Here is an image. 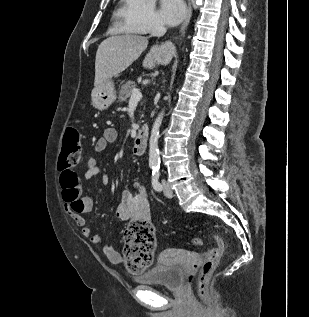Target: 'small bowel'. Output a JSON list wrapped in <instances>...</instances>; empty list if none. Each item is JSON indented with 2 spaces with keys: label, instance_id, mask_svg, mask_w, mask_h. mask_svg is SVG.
Instances as JSON below:
<instances>
[{
  "label": "small bowel",
  "instance_id": "1",
  "mask_svg": "<svg viewBox=\"0 0 309 317\" xmlns=\"http://www.w3.org/2000/svg\"><path fill=\"white\" fill-rule=\"evenodd\" d=\"M117 140V131L114 128H106L103 134L94 144L95 152H103L108 144ZM85 179L91 180L100 176L103 183H107L108 177L102 171L98 164V159L91 155L86 161ZM66 182L62 186V197L64 200L65 210L74 223L80 228L81 235L95 246H102V252L112 264H121L124 257L112 248L109 244L104 243L100 233H94L88 226L85 214L93 208V199L84 195L77 174L71 169L65 173ZM136 194L125 192L118 204L115 214L119 220H136L148 219L150 216V207L145 186L140 183L134 184Z\"/></svg>",
  "mask_w": 309,
  "mask_h": 317
}]
</instances>
